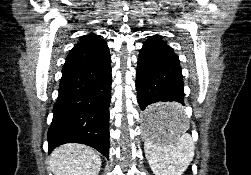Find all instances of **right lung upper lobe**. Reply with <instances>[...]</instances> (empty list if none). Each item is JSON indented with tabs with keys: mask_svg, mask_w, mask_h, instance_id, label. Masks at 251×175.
Wrapping results in <instances>:
<instances>
[{
	"mask_svg": "<svg viewBox=\"0 0 251 175\" xmlns=\"http://www.w3.org/2000/svg\"><path fill=\"white\" fill-rule=\"evenodd\" d=\"M109 54L106 41L99 35L90 33L80 37L79 42L69 52L63 68L99 62Z\"/></svg>",
	"mask_w": 251,
	"mask_h": 175,
	"instance_id": "1",
	"label": "right lung upper lobe"
}]
</instances>
